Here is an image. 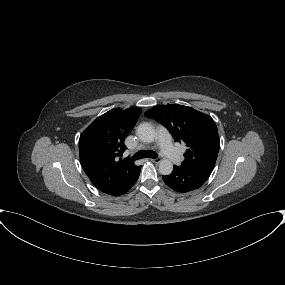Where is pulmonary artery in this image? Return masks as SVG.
Here are the masks:
<instances>
[{
  "label": "pulmonary artery",
  "instance_id": "pulmonary-artery-1",
  "mask_svg": "<svg viewBox=\"0 0 285 285\" xmlns=\"http://www.w3.org/2000/svg\"><path fill=\"white\" fill-rule=\"evenodd\" d=\"M156 138L163 154L172 162L176 163L180 160L179 153L171 143V137L164 127H158Z\"/></svg>",
  "mask_w": 285,
  "mask_h": 285
}]
</instances>
